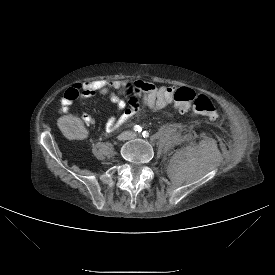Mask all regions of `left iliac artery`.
Masks as SVG:
<instances>
[{"label":"left iliac artery","instance_id":"1","mask_svg":"<svg viewBox=\"0 0 275 275\" xmlns=\"http://www.w3.org/2000/svg\"><path fill=\"white\" fill-rule=\"evenodd\" d=\"M142 135H143L144 138L149 137V133H148L147 131H144V132L142 133Z\"/></svg>","mask_w":275,"mask_h":275}]
</instances>
